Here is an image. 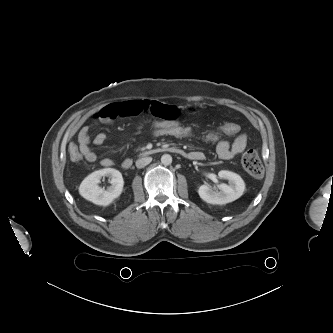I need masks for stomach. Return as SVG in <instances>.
<instances>
[{
    "label": "stomach",
    "instance_id": "stomach-1",
    "mask_svg": "<svg viewBox=\"0 0 333 333\" xmlns=\"http://www.w3.org/2000/svg\"><path fill=\"white\" fill-rule=\"evenodd\" d=\"M218 113V107L214 103H193L191 105H179L175 114L179 118L214 117Z\"/></svg>",
    "mask_w": 333,
    "mask_h": 333
}]
</instances>
